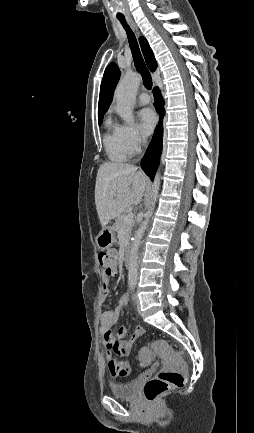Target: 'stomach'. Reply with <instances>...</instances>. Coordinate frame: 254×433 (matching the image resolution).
Listing matches in <instances>:
<instances>
[{
  "label": "stomach",
  "instance_id": "obj_1",
  "mask_svg": "<svg viewBox=\"0 0 254 433\" xmlns=\"http://www.w3.org/2000/svg\"><path fill=\"white\" fill-rule=\"evenodd\" d=\"M115 242V231L112 227H105L96 238L97 246L100 249H107Z\"/></svg>",
  "mask_w": 254,
  "mask_h": 433
}]
</instances>
